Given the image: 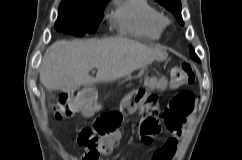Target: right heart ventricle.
<instances>
[{"mask_svg":"<svg viewBox=\"0 0 242 160\" xmlns=\"http://www.w3.org/2000/svg\"><path fill=\"white\" fill-rule=\"evenodd\" d=\"M111 22L121 33L147 41L158 40L164 31L163 17L149 0H118Z\"/></svg>","mask_w":242,"mask_h":160,"instance_id":"right-heart-ventricle-1","label":"right heart ventricle"}]
</instances>
